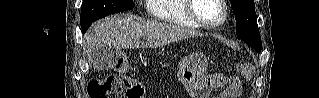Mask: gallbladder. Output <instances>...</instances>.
<instances>
[{"instance_id":"gallbladder-1","label":"gallbladder","mask_w":319,"mask_h":98,"mask_svg":"<svg viewBox=\"0 0 319 98\" xmlns=\"http://www.w3.org/2000/svg\"><path fill=\"white\" fill-rule=\"evenodd\" d=\"M114 53L108 47H99L93 51L91 64L97 70L108 69L113 64Z\"/></svg>"}]
</instances>
